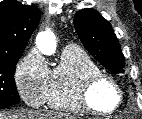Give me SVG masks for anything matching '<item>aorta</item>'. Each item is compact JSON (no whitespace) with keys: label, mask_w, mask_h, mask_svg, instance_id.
<instances>
[{"label":"aorta","mask_w":142,"mask_h":119,"mask_svg":"<svg viewBox=\"0 0 142 119\" xmlns=\"http://www.w3.org/2000/svg\"><path fill=\"white\" fill-rule=\"evenodd\" d=\"M36 45L42 54L54 55L57 48L55 35L51 31L40 32L36 37Z\"/></svg>","instance_id":"762f6f07"}]
</instances>
